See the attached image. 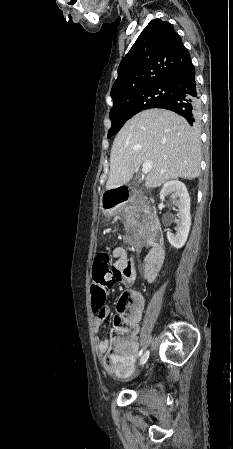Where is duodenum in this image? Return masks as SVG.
<instances>
[{
    "instance_id": "410a0bca",
    "label": "duodenum",
    "mask_w": 233,
    "mask_h": 449,
    "mask_svg": "<svg viewBox=\"0 0 233 449\" xmlns=\"http://www.w3.org/2000/svg\"><path fill=\"white\" fill-rule=\"evenodd\" d=\"M130 203H140L145 206L142 218L143 228L147 234L150 251L146 257L144 272H159L164 258L162 232L156 214L150 208V199L132 186H110L109 191H103V206H126Z\"/></svg>"
}]
</instances>
